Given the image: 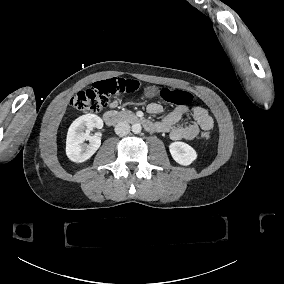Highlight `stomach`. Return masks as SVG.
I'll list each match as a JSON object with an SVG mask.
<instances>
[{"label": "stomach", "mask_w": 284, "mask_h": 284, "mask_svg": "<svg viewBox=\"0 0 284 284\" xmlns=\"http://www.w3.org/2000/svg\"><path fill=\"white\" fill-rule=\"evenodd\" d=\"M160 94V88L155 85H150L144 87V91L142 93V97L152 99L158 97Z\"/></svg>", "instance_id": "obj_1"}]
</instances>
